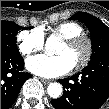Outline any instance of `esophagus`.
<instances>
[{
  "mask_svg": "<svg viewBox=\"0 0 109 109\" xmlns=\"http://www.w3.org/2000/svg\"><path fill=\"white\" fill-rule=\"evenodd\" d=\"M41 82L43 83V84H49L50 82H51V80H47V79H41Z\"/></svg>",
  "mask_w": 109,
  "mask_h": 109,
  "instance_id": "esophagus-1",
  "label": "esophagus"
}]
</instances>
